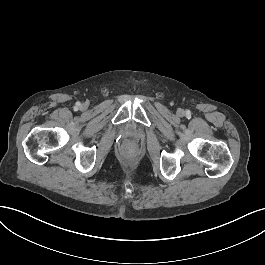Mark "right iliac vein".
I'll return each mask as SVG.
<instances>
[{"label":"right iliac vein","instance_id":"63e3f726","mask_svg":"<svg viewBox=\"0 0 265 265\" xmlns=\"http://www.w3.org/2000/svg\"><path fill=\"white\" fill-rule=\"evenodd\" d=\"M82 107H83L84 109H86V105H85V104H83Z\"/></svg>","mask_w":265,"mask_h":265}]
</instances>
